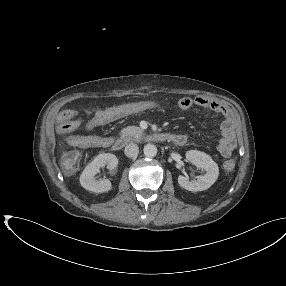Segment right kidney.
Returning a JSON list of instances; mask_svg holds the SVG:
<instances>
[{"label": "right kidney", "instance_id": "right-kidney-1", "mask_svg": "<svg viewBox=\"0 0 286 286\" xmlns=\"http://www.w3.org/2000/svg\"><path fill=\"white\" fill-rule=\"evenodd\" d=\"M107 165V168L112 170L117 167L118 159L114 154L102 153L97 155L92 162H90L80 175L81 186L89 191L96 193L108 192L112 189V184L108 179L95 178L99 172L100 167Z\"/></svg>", "mask_w": 286, "mask_h": 286}]
</instances>
